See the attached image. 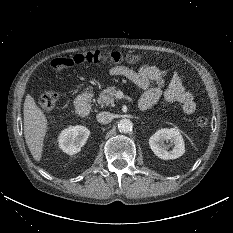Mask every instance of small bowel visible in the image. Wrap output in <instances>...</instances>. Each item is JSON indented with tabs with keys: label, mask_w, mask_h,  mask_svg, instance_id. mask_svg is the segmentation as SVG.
Instances as JSON below:
<instances>
[{
	"label": "small bowel",
	"mask_w": 233,
	"mask_h": 233,
	"mask_svg": "<svg viewBox=\"0 0 233 233\" xmlns=\"http://www.w3.org/2000/svg\"><path fill=\"white\" fill-rule=\"evenodd\" d=\"M110 76H122L145 90L139 101L141 110L151 108L161 97L167 103H178L185 114L196 111L194 95L186 90L177 73L168 75L166 71L152 64H144L139 70L124 65L113 66L108 70ZM169 76V81L166 78Z\"/></svg>",
	"instance_id": "1"
}]
</instances>
